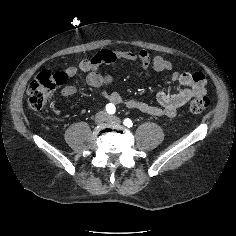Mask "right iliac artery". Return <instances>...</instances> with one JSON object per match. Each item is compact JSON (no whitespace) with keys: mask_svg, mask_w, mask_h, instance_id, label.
<instances>
[{"mask_svg":"<svg viewBox=\"0 0 236 236\" xmlns=\"http://www.w3.org/2000/svg\"><path fill=\"white\" fill-rule=\"evenodd\" d=\"M106 111L109 114H114L115 111H116V108L113 104L109 103V104L106 105Z\"/></svg>","mask_w":236,"mask_h":236,"instance_id":"82829eb1","label":"right iliac artery"}]
</instances>
